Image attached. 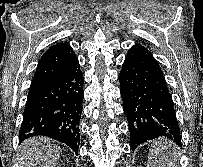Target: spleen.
Returning a JSON list of instances; mask_svg holds the SVG:
<instances>
[{
	"mask_svg": "<svg viewBox=\"0 0 203 167\" xmlns=\"http://www.w3.org/2000/svg\"><path fill=\"white\" fill-rule=\"evenodd\" d=\"M178 148L167 140L154 141L149 150L148 167H179Z\"/></svg>",
	"mask_w": 203,
	"mask_h": 167,
	"instance_id": "spleen-1",
	"label": "spleen"
}]
</instances>
